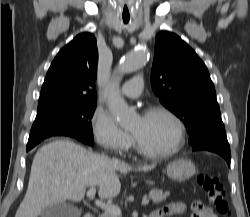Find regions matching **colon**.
<instances>
[{"label": "colon", "mask_w": 250, "mask_h": 217, "mask_svg": "<svg viewBox=\"0 0 250 217\" xmlns=\"http://www.w3.org/2000/svg\"><path fill=\"white\" fill-rule=\"evenodd\" d=\"M198 183L206 192L210 202L215 206L217 212L223 216L230 214V206L226 193L217 176L202 173L198 176ZM194 214H192V217Z\"/></svg>", "instance_id": "5ec220e1"}]
</instances>
